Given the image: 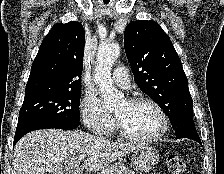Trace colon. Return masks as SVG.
Here are the masks:
<instances>
[{"label":"colon","mask_w":224,"mask_h":174,"mask_svg":"<svg viewBox=\"0 0 224 174\" xmlns=\"http://www.w3.org/2000/svg\"><path fill=\"white\" fill-rule=\"evenodd\" d=\"M167 165L171 174H182L185 170V163L175 155L168 156Z\"/></svg>","instance_id":"colon-1"}]
</instances>
